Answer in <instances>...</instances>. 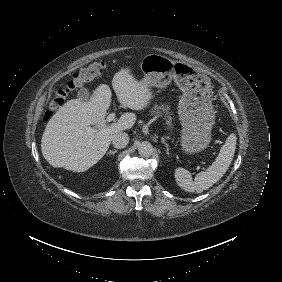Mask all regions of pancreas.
<instances>
[{"label": "pancreas", "mask_w": 282, "mask_h": 282, "mask_svg": "<svg viewBox=\"0 0 282 282\" xmlns=\"http://www.w3.org/2000/svg\"><path fill=\"white\" fill-rule=\"evenodd\" d=\"M150 114L156 117H164L165 124L167 125L168 129L172 128V113L170 112V107L167 104L158 105L155 104L151 110Z\"/></svg>", "instance_id": "obj_1"}]
</instances>
